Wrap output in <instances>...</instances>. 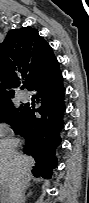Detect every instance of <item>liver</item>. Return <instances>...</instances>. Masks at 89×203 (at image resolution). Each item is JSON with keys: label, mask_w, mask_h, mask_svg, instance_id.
I'll use <instances>...</instances> for the list:
<instances>
[{"label": "liver", "mask_w": 89, "mask_h": 203, "mask_svg": "<svg viewBox=\"0 0 89 203\" xmlns=\"http://www.w3.org/2000/svg\"><path fill=\"white\" fill-rule=\"evenodd\" d=\"M18 144L17 139H6L2 140L0 148V192L2 197H8L9 203H16L20 186L25 182L26 187L35 164L31 156L15 150Z\"/></svg>", "instance_id": "6515ba94"}]
</instances>
